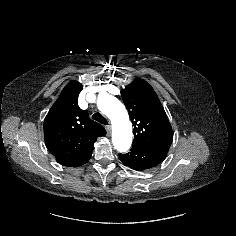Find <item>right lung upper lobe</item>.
Returning <instances> with one entry per match:
<instances>
[{
    "instance_id": "right-lung-upper-lobe-1",
    "label": "right lung upper lobe",
    "mask_w": 236,
    "mask_h": 236,
    "mask_svg": "<svg viewBox=\"0 0 236 236\" xmlns=\"http://www.w3.org/2000/svg\"><path fill=\"white\" fill-rule=\"evenodd\" d=\"M82 85L72 81L65 86L44 120V139L48 150L61 165L72 167L92 153L97 137L106 130L79 108Z\"/></svg>"
}]
</instances>
